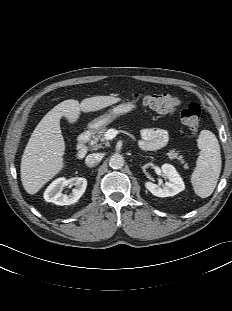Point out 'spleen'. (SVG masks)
<instances>
[{
  "label": "spleen",
  "mask_w": 232,
  "mask_h": 311,
  "mask_svg": "<svg viewBox=\"0 0 232 311\" xmlns=\"http://www.w3.org/2000/svg\"><path fill=\"white\" fill-rule=\"evenodd\" d=\"M197 145L201 152L191 175V183L195 193L206 198L213 193L220 176V145L215 134L209 130L200 132Z\"/></svg>",
  "instance_id": "spleen-1"
}]
</instances>
